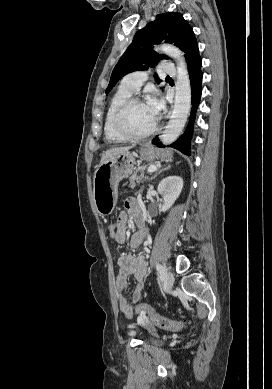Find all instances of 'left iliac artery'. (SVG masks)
<instances>
[{
    "label": "left iliac artery",
    "mask_w": 272,
    "mask_h": 389,
    "mask_svg": "<svg viewBox=\"0 0 272 389\" xmlns=\"http://www.w3.org/2000/svg\"><path fill=\"white\" fill-rule=\"evenodd\" d=\"M156 269L158 271L159 277L161 281H164L166 278L165 268L161 264H156Z\"/></svg>",
    "instance_id": "44dca946"
}]
</instances>
